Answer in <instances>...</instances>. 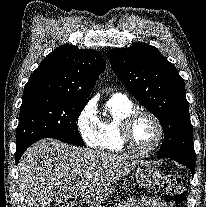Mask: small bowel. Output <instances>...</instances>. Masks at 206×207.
Masks as SVG:
<instances>
[{"instance_id":"small-bowel-1","label":"small bowel","mask_w":206,"mask_h":207,"mask_svg":"<svg viewBox=\"0 0 206 207\" xmlns=\"http://www.w3.org/2000/svg\"><path fill=\"white\" fill-rule=\"evenodd\" d=\"M168 207V205L158 197L143 196L141 198L132 199L126 203L118 204L116 207Z\"/></svg>"}]
</instances>
